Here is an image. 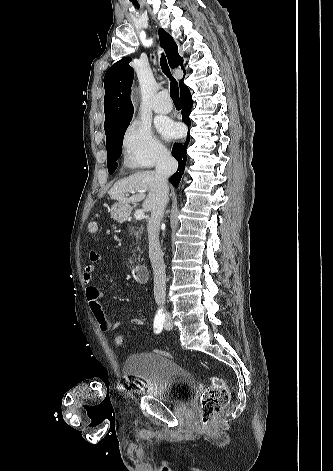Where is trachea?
I'll list each match as a JSON object with an SVG mask.
<instances>
[{
	"label": "trachea",
	"mask_w": 333,
	"mask_h": 471,
	"mask_svg": "<svg viewBox=\"0 0 333 471\" xmlns=\"http://www.w3.org/2000/svg\"><path fill=\"white\" fill-rule=\"evenodd\" d=\"M161 67H162L163 73L171 80V82H170V96H171L173 102H180L178 83L172 77L170 69H169L167 61H166V57L164 55H162V57H161Z\"/></svg>",
	"instance_id": "3493384b"
}]
</instances>
